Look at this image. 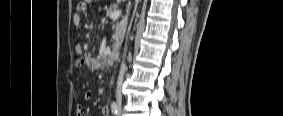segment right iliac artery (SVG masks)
I'll list each match as a JSON object with an SVG mask.
<instances>
[{
    "label": "right iliac artery",
    "instance_id": "right-iliac-artery-1",
    "mask_svg": "<svg viewBox=\"0 0 283 116\" xmlns=\"http://www.w3.org/2000/svg\"><path fill=\"white\" fill-rule=\"evenodd\" d=\"M111 110L113 114H117L118 113V106L116 103H112L111 104Z\"/></svg>",
    "mask_w": 283,
    "mask_h": 116
}]
</instances>
